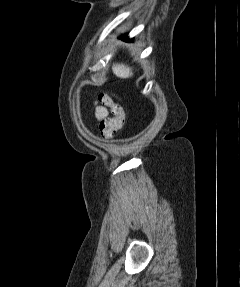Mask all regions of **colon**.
Returning a JSON list of instances; mask_svg holds the SVG:
<instances>
[{
  "label": "colon",
  "mask_w": 240,
  "mask_h": 287,
  "mask_svg": "<svg viewBox=\"0 0 240 287\" xmlns=\"http://www.w3.org/2000/svg\"><path fill=\"white\" fill-rule=\"evenodd\" d=\"M99 101L110 109L112 115L100 123V131L105 138H111L123 126L125 120L124 107L115 102L107 93L100 94Z\"/></svg>",
  "instance_id": "1"
}]
</instances>
